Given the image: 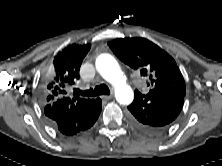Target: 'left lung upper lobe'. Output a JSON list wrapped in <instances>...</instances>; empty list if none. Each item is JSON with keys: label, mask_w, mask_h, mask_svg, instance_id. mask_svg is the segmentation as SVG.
<instances>
[{"label": "left lung upper lobe", "mask_w": 222, "mask_h": 166, "mask_svg": "<svg viewBox=\"0 0 222 166\" xmlns=\"http://www.w3.org/2000/svg\"><path fill=\"white\" fill-rule=\"evenodd\" d=\"M108 46L121 61L151 80L146 95L167 92L185 96V82L175 60L151 41L138 37L114 39ZM135 93L140 92L135 90Z\"/></svg>", "instance_id": "1"}]
</instances>
